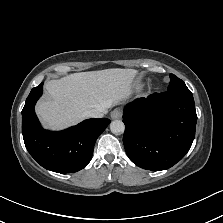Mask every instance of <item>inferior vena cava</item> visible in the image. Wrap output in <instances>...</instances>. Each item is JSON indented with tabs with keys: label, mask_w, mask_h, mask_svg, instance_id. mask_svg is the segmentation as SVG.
<instances>
[{
	"label": "inferior vena cava",
	"mask_w": 223,
	"mask_h": 223,
	"mask_svg": "<svg viewBox=\"0 0 223 223\" xmlns=\"http://www.w3.org/2000/svg\"><path fill=\"white\" fill-rule=\"evenodd\" d=\"M106 112L102 108L100 109H92L87 112L88 118H102Z\"/></svg>",
	"instance_id": "obj_1"
}]
</instances>
